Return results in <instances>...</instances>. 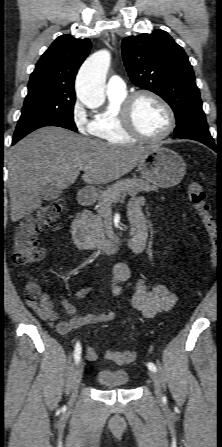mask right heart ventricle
<instances>
[{"label": "right heart ventricle", "instance_id": "e07e8e85", "mask_svg": "<svg viewBox=\"0 0 222 447\" xmlns=\"http://www.w3.org/2000/svg\"><path fill=\"white\" fill-rule=\"evenodd\" d=\"M108 107L96 114L92 120V128L90 134L97 139L113 145L130 144L136 139L126 134L119 122V106L126 96V92L122 94H109Z\"/></svg>", "mask_w": 222, "mask_h": 447}]
</instances>
